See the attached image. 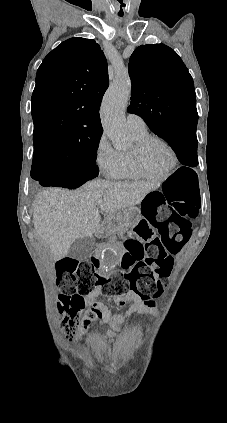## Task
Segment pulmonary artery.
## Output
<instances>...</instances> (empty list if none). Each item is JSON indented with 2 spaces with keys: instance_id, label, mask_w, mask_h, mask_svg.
<instances>
[{
  "instance_id": "e3ab8cb5",
  "label": "pulmonary artery",
  "mask_w": 227,
  "mask_h": 423,
  "mask_svg": "<svg viewBox=\"0 0 227 423\" xmlns=\"http://www.w3.org/2000/svg\"><path fill=\"white\" fill-rule=\"evenodd\" d=\"M126 126L131 132H144L147 130L144 120L136 114L127 115Z\"/></svg>"
}]
</instances>
